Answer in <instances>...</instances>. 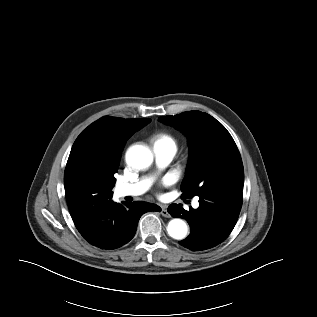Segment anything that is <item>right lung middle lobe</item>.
<instances>
[{
    "instance_id": "obj_1",
    "label": "right lung middle lobe",
    "mask_w": 317,
    "mask_h": 317,
    "mask_svg": "<svg viewBox=\"0 0 317 317\" xmlns=\"http://www.w3.org/2000/svg\"><path fill=\"white\" fill-rule=\"evenodd\" d=\"M108 167H98L89 160L76 163L65 171V193H77L81 198L105 200L111 198L116 179Z\"/></svg>"
}]
</instances>
